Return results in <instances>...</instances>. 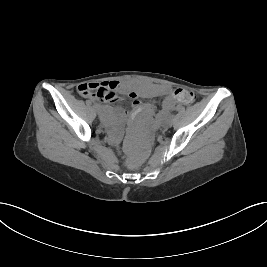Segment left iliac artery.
<instances>
[{"label": "left iliac artery", "mask_w": 267, "mask_h": 267, "mask_svg": "<svg viewBox=\"0 0 267 267\" xmlns=\"http://www.w3.org/2000/svg\"><path fill=\"white\" fill-rule=\"evenodd\" d=\"M173 119V115H168L167 116V120H172Z\"/></svg>", "instance_id": "left-iliac-artery-1"}]
</instances>
